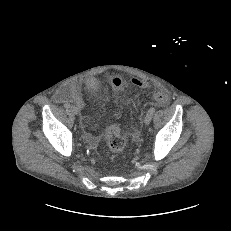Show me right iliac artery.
<instances>
[{
    "label": "right iliac artery",
    "mask_w": 231,
    "mask_h": 231,
    "mask_svg": "<svg viewBox=\"0 0 231 231\" xmlns=\"http://www.w3.org/2000/svg\"><path fill=\"white\" fill-rule=\"evenodd\" d=\"M64 107H65V108H69L70 105H69L68 103H65V104H64Z\"/></svg>",
    "instance_id": "1"
}]
</instances>
